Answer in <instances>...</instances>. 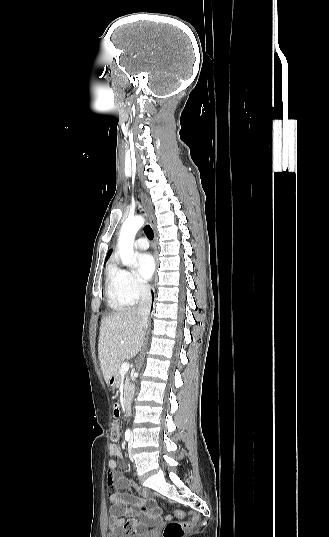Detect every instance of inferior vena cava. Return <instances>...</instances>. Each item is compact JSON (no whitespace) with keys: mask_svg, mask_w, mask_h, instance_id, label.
I'll return each mask as SVG.
<instances>
[{"mask_svg":"<svg viewBox=\"0 0 329 537\" xmlns=\"http://www.w3.org/2000/svg\"><path fill=\"white\" fill-rule=\"evenodd\" d=\"M140 302L137 308V312L141 315L144 325L146 326L148 315L151 308V291L149 285H142L140 292Z\"/></svg>","mask_w":329,"mask_h":537,"instance_id":"1","label":"inferior vena cava"}]
</instances>
